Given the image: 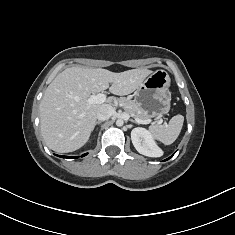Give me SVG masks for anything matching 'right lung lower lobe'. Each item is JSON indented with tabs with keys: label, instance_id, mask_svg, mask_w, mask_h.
<instances>
[{
	"label": "right lung lower lobe",
	"instance_id": "1",
	"mask_svg": "<svg viewBox=\"0 0 235 235\" xmlns=\"http://www.w3.org/2000/svg\"><path fill=\"white\" fill-rule=\"evenodd\" d=\"M85 155L86 154H83L82 157L85 156ZM60 157H63V158H78L77 156H60Z\"/></svg>",
	"mask_w": 235,
	"mask_h": 235
}]
</instances>
